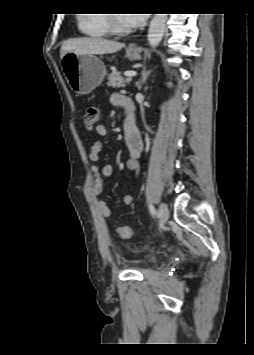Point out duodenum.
<instances>
[{
    "mask_svg": "<svg viewBox=\"0 0 254 355\" xmlns=\"http://www.w3.org/2000/svg\"><path fill=\"white\" fill-rule=\"evenodd\" d=\"M128 98V97H127ZM130 99V98H129ZM131 100V99H130ZM129 102V100H127ZM124 128H126L127 131H131L132 129L136 128V122L135 118L132 115H129L125 122H124Z\"/></svg>",
    "mask_w": 254,
    "mask_h": 355,
    "instance_id": "duodenum-1",
    "label": "duodenum"
}]
</instances>
